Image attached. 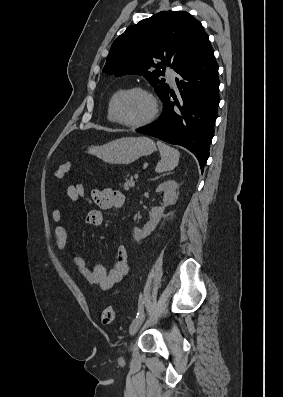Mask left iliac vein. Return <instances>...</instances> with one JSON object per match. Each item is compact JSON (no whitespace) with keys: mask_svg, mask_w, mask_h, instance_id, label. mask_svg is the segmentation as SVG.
Returning a JSON list of instances; mask_svg holds the SVG:
<instances>
[{"mask_svg":"<svg viewBox=\"0 0 283 397\" xmlns=\"http://www.w3.org/2000/svg\"><path fill=\"white\" fill-rule=\"evenodd\" d=\"M145 319V312H141L131 323L130 328H129V333L130 335H134L138 329L140 328L141 324L143 323ZM131 349V346H130Z\"/></svg>","mask_w":283,"mask_h":397,"instance_id":"obj_1","label":"left iliac vein"}]
</instances>
